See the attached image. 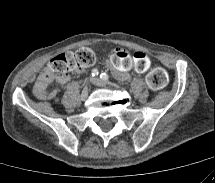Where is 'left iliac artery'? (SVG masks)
<instances>
[{
    "instance_id": "44dca946",
    "label": "left iliac artery",
    "mask_w": 215,
    "mask_h": 183,
    "mask_svg": "<svg viewBox=\"0 0 215 183\" xmlns=\"http://www.w3.org/2000/svg\"><path fill=\"white\" fill-rule=\"evenodd\" d=\"M100 78L103 80V81H107L109 79V76L108 74L106 73H101L100 74Z\"/></svg>"
}]
</instances>
